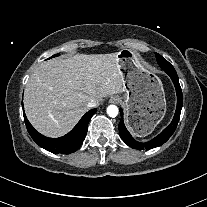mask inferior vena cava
I'll return each mask as SVG.
<instances>
[{"instance_id": "602c4592", "label": "inferior vena cava", "mask_w": 207, "mask_h": 207, "mask_svg": "<svg viewBox=\"0 0 207 207\" xmlns=\"http://www.w3.org/2000/svg\"><path fill=\"white\" fill-rule=\"evenodd\" d=\"M98 105H99V101L94 98L90 99L89 102L87 103V107L89 108H94Z\"/></svg>"}]
</instances>
